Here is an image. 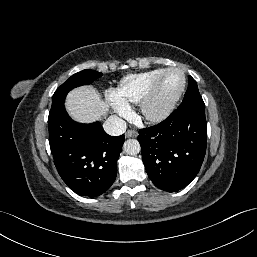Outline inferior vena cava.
I'll return each instance as SVG.
<instances>
[{"instance_id":"1","label":"inferior vena cava","mask_w":257,"mask_h":257,"mask_svg":"<svg viewBox=\"0 0 257 257\" xmlns=\"http://www.w3.org/2000/svg\"><path fill=\"white\" fill-rule=\"evenodd\" d=\"M105 132L111 136L122 135L127 129V123L118 116H110L103 124Z\"/></svg>"}]
</instances>
